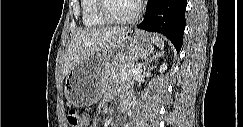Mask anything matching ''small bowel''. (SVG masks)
I'll return each instance as SVG.
<instances>
[{
  "label": "small bowel",
  "instance_id": "1",
  "mask_svg": "<svg viewBox=\"0 0 243 127\" xmlns=\"http://www.w3.org/2000/svg\"><path fill=\"white\" fill-rule=\"evenodd\" d=\"M127 94H128V93H127ZM127 94H126V95H127ZM113 96H114V92H111V93L109 94V97H110V98H113ZM84 121H85L84 126H89V123H90L89 118H88V117H85Z\"/></svg>",
  "mask_w": 243,
  "mask_h": 127
}]
</instances>
